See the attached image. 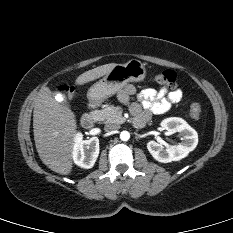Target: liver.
<instances>
[{"instance_id": "1", "label": "liver", "mask_w": 233, "mask_h": 233, "mask_svg": "<svg viewBox=\"0 0 233 233\" xmlns=\"http://www.w3.org/2000/svg\"><path fill=\"white\" fill-rule=\"evenodd\" d=\"M116 64L98 66L79 75L75 81L83 85L106 75ZM77 123L72 110L54 100L48 87H42L35 99L33 132L41 161L52 171L68 175L72 171V152Z\"/></svg>"}]
</instances>
